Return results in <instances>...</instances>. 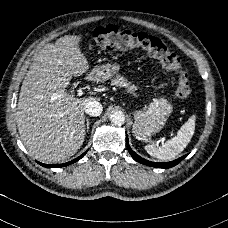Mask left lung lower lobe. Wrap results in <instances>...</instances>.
Wrapping results in <instances>:
<instances>
[{
  "instance_id": "obj_1",
  "label": "left lung lower lobe",
  "mask_w": 228,
  "mask_h": 228,
  "mask_svg": "<svg viewBox=\"0 0 228 228\" xmlns=\"http://www.w3.org/2000/svg\"><path fill=\"white\" fill-rule=\"evenodd\" d=\"M126 145H127V149L130 153V155L132 156V158L134 160H136L137 162L139 163H142L144 165H147V166H151V167H156V168H171L175 165H177L178 163H180L187 155L181 157V158H178L177 160H174V161H171V162H166V163H156V162H151V161H148L146 159H143L142 157H140L138 154H136L132 149L131 147L129 146V143H128V137L126 138Z\"/></svg>"
}]
</instances>
